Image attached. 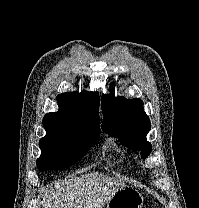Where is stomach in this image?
Instances as JSON below:
<instances>
[{
    "label": "stomach",
    "mask_w": 199,
    "mask_h": 208,
    "mask_svg": "<svg viewBox=\"0 0 199 208\" xmlns=\"http://www.w3.org/2000/svg\"><path fill=\"white\" fill-rule=\"evenodd\" d=\"M143 202L144 198L137 189L124 187L111 198L106 208H142Z\"/></svg>",
    "instance_id": "0dacf381"
}]
</instances>
